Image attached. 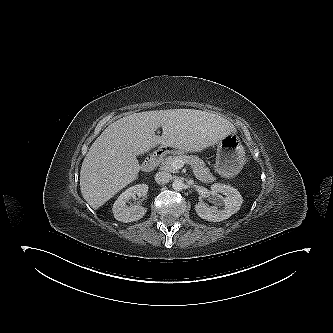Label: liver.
<instances>
[{"label":"liver","mask_w":333,"mask_h":333,"mask_svg":"<svg viewBox=\"0 0 333 333\" xmlns=\"http://www.w3.org/2000/svg\"><path fill=\"white\" fill-rule=\"evenodd\" d=\"M158 127L162 136L155 134ZM235 133L226 119L194 109L134 113L110 124L91 145L80 171V189L94 209L138 178L137 155L157 145L200 152Z\"/></svg>","instance_id":"obj_1"}]
</instances>
